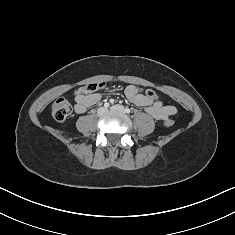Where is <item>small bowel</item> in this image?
<instances>
[{
    "instance_id": "obj_1",
    "label": "small bowel",
    "mask_w": 235,
    "mask_h": 235,
    "mask_svg": "<svg viewBox=\"0 0 235 235\" xmlns=\"http://www.w3.org/2000/svg\"><path fill=\"white\" fill-rule=\"evenodd\" d=\"M127 99L133 104L145 107L146 111L157 120H167L176 114V108L172 105H164L160 101H153L147 98L143 92L135 87L128 86L125 89ZM100 93L77 94L75 96L74 109L77 113H84L90 106L98 103L101 99Z\"/></svg>"
}]
</instances>
